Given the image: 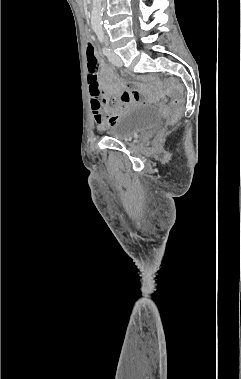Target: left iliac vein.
Returning <instances> with one entry per match:
<instances>
[{
  "label": "left iliac vein",
  "mask_w": 241,
  "mask_h": 379,
  "mask_svg": "<svg viewBox=\"0 0 241 379\" xmlns=\"http://www.w3.org/2000/svg\"><path fill=\"white\" fill-rule=\"evenodd\" d=\"M109 60L112 64H114L115 66H118V67H121L123 66V61L122 59L114 52H110V55H109Z\"/></svg>",
  "instance_id": "obj_1"
}]
</instances>
